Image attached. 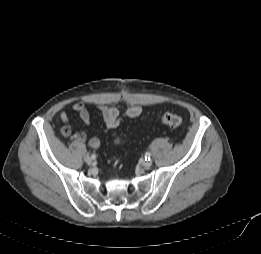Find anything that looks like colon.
Segmentation results:
<instances>
[{"label":"colon","mask_w":261,"mask_h":254,"mask_svg":"<svg viewBox=\"0 0 261 254\" xmlns=\"http://www.w3.org/2000/svg\"><path fill=\"white\" fill-rule=\"evenodd\" d=\"M159 121L171 128H178L182 125V118L175 113H164L158 117ZM118 142L120 139L117 140Z\"/></svg>","instance_id":"obj_1"}]
</instances>
